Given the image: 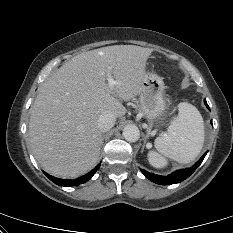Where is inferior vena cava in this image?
<instances>
[{
	"label": "inferior vena cava",
	"mask_w": 233,
	"mask_h": 233,
	"mask_svg": "<svg viewBox=\"0 0 233 233\" xmlns=\"http://www.w3.org/2000/svg\"><path fill=\"white\" fill-rule=\"evenodd\" d=\"M115 121L116 116L114 114L111 112H105L100 115L97 126L101 132H107L115 125Z\"/></svg>",
	"instance_id": "602c4592"
}]
</instances>
